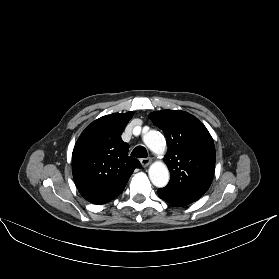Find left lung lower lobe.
<instances>
[{
	"instance_id": "obj_1",
	"label": "left lung lower lobe",
	"mask_w": 279,
	"mask_h": 279,
	"mask_svg": "<svg viewBox=\"0 0 279 279\" xmlns=\"http://www.w3.org/2000/svg\"><path fill=\"white\" fill-rule=\"evenodd\" d=\"M158 195L164 201H166V202H168L172 205H175V206H185V205H188V204L192 203V202L187 201V200L178 199V198H174V197L164 195L160 191H158Z\"/></svg>"
}]
</instances>
